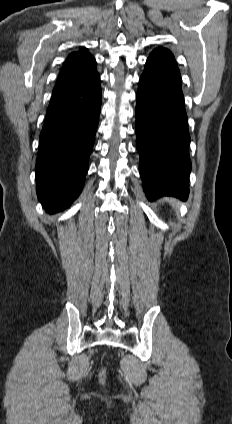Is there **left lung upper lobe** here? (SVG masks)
Masks as SVG:
<instances>
[{
  "instance_id": "obj_1",
  "label": "left lung upper lobe",
  "mask_w": 232,
  "mask_h": 424,
  "mask_svg": "<svg viewBox=\"0 0 232 424\" xmlns=\"http://www.w3.org/2000/svg\"><path fill=\"white\" fill-rule=\"evenodd\" d=\"M148 59L166 60V59H174V56L171 53V51H169L168 49L159 47L152 51Z\"/></svg>"
}]
</instances>
